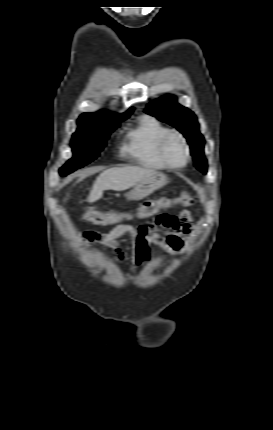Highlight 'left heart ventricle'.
Returning <instances> with one entry per match:
<instances>
[{
    "label": "left heart ventricle",
    "instance_id": "b2bd125f",
    "mask_svg": "<svg viewBox=\"0 0 273 430\" xmlns=\"http://www.w3.org/2000/svg\"><path fill=\"white\" fill-rule=\"evenodd\" d=\"M166 155L173 163H181L184 160L185 150L181 140L177 137H172L166 144Z\"/></svg>",
    "mask_w": 273,
    "mask_h": 430
}]
</instances>
